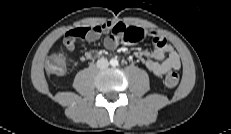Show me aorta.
Wrapping results in <instances>:
<instances>
[{
    "instance_id": "obj_1",
    "label": "aorta",
    "mask_w": 231,
    "mask_h": 134,
    "mask_svg": "<svg viewBox=\"0 0 231 134\" xmlns=\"http://www.w3.org/2000/svg\"><path fill=\"white\" fill-rule=\"evenodd\" d=\"M110 63H111L112 66L118 65V61H117L116 59H112V60L110 61Z\"/></svg>"
}]
</instances>
